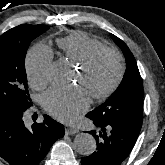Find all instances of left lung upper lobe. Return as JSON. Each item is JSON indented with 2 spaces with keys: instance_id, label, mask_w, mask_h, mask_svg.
Returning a JSON list of instances; mask_svg holds the SVG:
<instances>
[{
  "instance_id": "5c2ea615",
  "label": "left lung upper lobe",
  "mask_w": 165,
  "mask_h": 165,
  "mask_svg": "<svg viewBox=\"0 0 165 165\" xmlns=\"http://www.w3.org/2000/svg\"><path fill=\"white\" fill-rule=\"evenodd\" d=\"M110 36L123 51L127 69L115 93L87 116L101 122H117L141 129L143 85L137 63L128 46L115 35Z\"/></svg>"
}]
</instances>
